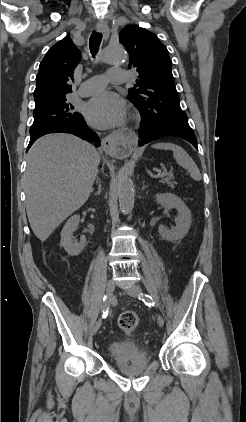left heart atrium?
Masks as SVG:
<instances>
[{"instance_id":"1","label":"left heart atrium","mask_w":246,"mask_h":422,"mask_svg":"<svg viewBox=\"0 0 246 422\" xmlns=\"http://www.w3.org/2000/svg\"><path fill=\"white\" fill-rule=\"evenodd\" d=\"M85 112L92 126L113 128L125 121L126 105L119 95L107 91L93 97L87 103Z\"/></svg>"}]
</instances>
